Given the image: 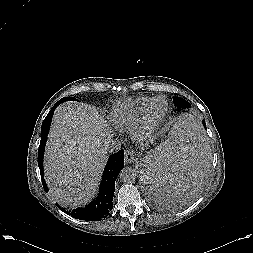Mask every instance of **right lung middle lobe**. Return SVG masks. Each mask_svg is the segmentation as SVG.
<instances>
[{
	"mask_svg": "<svg viewBox=\"0 0 253 253\" xmlns=\"http://www.w3.org/2000/svg\"><path fill=\"white\" fill-rule=\"evenodd\" d=\"M62 102H65V101H74V100H76V99H74V98H70V97H64V98H62V99H60Z\"/></svg>",
	"mask_w": 253,
	"mask_h": 253,
	"instance_id": "dd1d6c3e",
	"label": "right lung middle lobe"
}]
</instances>
